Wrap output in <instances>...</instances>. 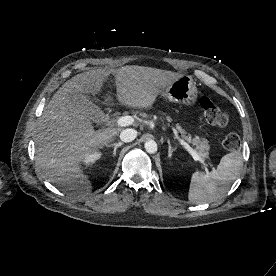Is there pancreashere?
Instances as JSON below:
<instances>
[{
    "label": "pancreas",
    "mask_w": 276,
    "mask_h": 276,
    "mask_svg": "<svg viewBox=\"0 0 276 276\" xmlns=\"http://www.w3.org/2000/svg\"><path fill=\"white\" fill-rule=\"evenodd\" d=\"M166 119L169 122L172 121L170 117H167ZM176 130L181 133V136L184 140L192 143L195 146V150L199 155H201L203 158L208 157L210 146L207 139L200 138L199 136H195L194 138H192L191 135H186V132L181 128L180 125H176Z\"/></svg>",
    "instance_id": "1"
}]
</instances>
